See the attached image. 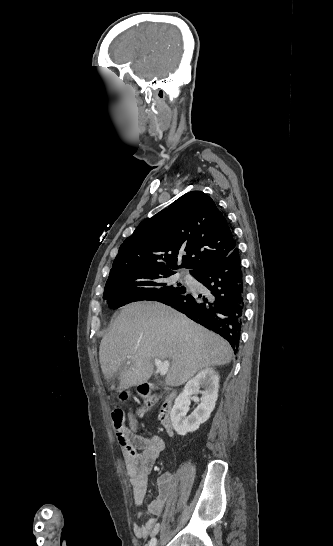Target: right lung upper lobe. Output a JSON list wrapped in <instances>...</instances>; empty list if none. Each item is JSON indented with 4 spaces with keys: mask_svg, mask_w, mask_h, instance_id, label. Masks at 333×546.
<instances>
[{
    "mask_svg": "<svg viewBox=\"0 0 333 546\" xmlns=\"http://www.w3.org/2000/svg\"><path fill=\"white\" fill-rule=\"evenodd\" d=\"M235 248L231 228L213 199L202 191H191L142 221L121 244L111 270L173 272L184 267L195 275Z\"/></svg>",
    "mask_w": 333,
    "mask_h": 546,
    "instance_id": "right-lung-upper-lobe-1",
    "label": "right lung upper lobe"
}]
</instances>
